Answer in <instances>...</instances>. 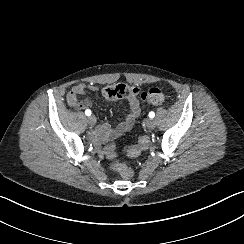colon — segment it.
I'll use <instances>...</instances> for the list:
<instances>
[{"mask_svg": "<svg viewBox=\"0 0 244 244\" xmlns=\"http://www.w3.org/2000/svg\"><path fill=\"white\" fill-rule=\"evenodd\" d=\"M137 90L139 89L129 84L116 83L106 87L103 90V95L110 100H115L125 96H133ZM141 100L150 105L160 106L166 103L167 97L160 87H152L147 89ZM138 142L139 146L134 144L126 145V154L133 157H140L143 154V150H148L151 147L150 138L146 133H141L138 136ZM104 154L108 158H114L115 150L113 147L108 146L105 148ZM120 173L125 178H131L134 175V170L131 167L124 165L121 166Z\"/></svg>", "mask_w": 244, "mask_h": 244, "instance_id": "1", "label": "colon"}]
</instances>
